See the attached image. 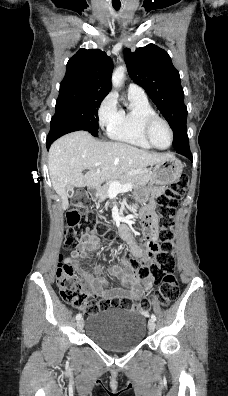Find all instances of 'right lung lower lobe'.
Returning a JSON list of instances; mask_svg holds the SVG:
<instances>
[{"label":"right lung lower lobe","instance_id":"98d812e1","mask_svg":"<svg viewBox=\"0 0 228 396\" xmlns=\"http://www.w3.org/2000/svg\"><path fill=\"white\" fill-rule=\"evenodd\" d=\"M73 131H76V128H74L71 125H66L64 123H51L50 133L47 136V140H46L47 149H49L50 145L57 138Z\"/></svg>","mask_w":228,"mask_h":396}]
</instances>
